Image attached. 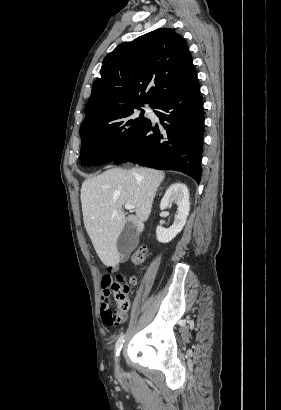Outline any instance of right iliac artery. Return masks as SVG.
Listing matches in <instances>:
<instances>
[{"mask_svg": "<svg viewBox=\"0 0 281 410\" xmlns=\"http://www.w3.org/2000/svg\"><path fill=\"white\" fill-rule=\"evenodd\" d=\"M124 343V335H121L118 339V341L116 342V347H115V351H116V356H119V353L122 349Z\"/></svg>", "mask_w": 281, "mask_h": 410, "instance_id": "right-iliac-artery-1", "label": "right iliac artery"}]
</instances>
